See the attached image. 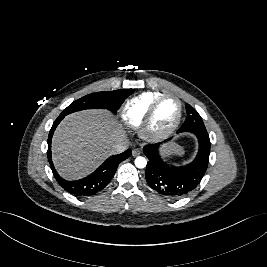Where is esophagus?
<instances>
[{
  "label": "esophagus",
  "instance_id": "1",
  "mask_svg": "<svg viewBox=\"0 0 267 267\" xmlns=\"http://www.w3.org/2000/svg\"><path fill=\"white\" fill-rule=\"evenodd\" d=\"M140 153H141V151H140L139 149H134V150L132 151V156H133V157H136V156L140 155Z\"/></svg>",
  "mask_w": 267,
  "mask_h": 267
}]
</instances>
